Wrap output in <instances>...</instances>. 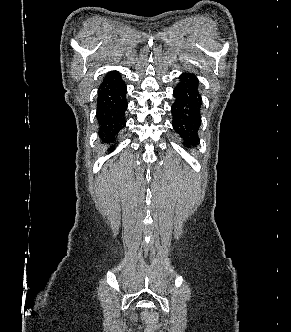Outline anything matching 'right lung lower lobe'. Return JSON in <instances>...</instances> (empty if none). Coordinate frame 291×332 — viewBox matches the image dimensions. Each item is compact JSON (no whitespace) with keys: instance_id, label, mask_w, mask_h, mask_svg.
I'll use <instances>...</instances> for the list:
<instances>
[{"instance_id":"98d812e1","label":"right lung lower lobe","mask_w":291,"mask_h":332,"mask_svg":"<svg viewBox=\"0 0 291 332\" xmlns=\"http://www.w3.org/2000/svg\"><path fill=\"white\" fill-rule=\"evenodd\" d=\"M126 93V84L120 73L113 71L104 77L98 90L96 114L100 138L104 142H114L115 136L125 127Z\"/></svg>"}]
</instances>
